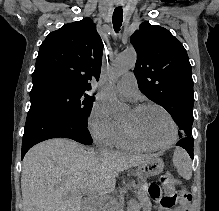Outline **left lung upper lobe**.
I'll return each mask as SVG.
<instances>
[{
  "instance_id": "left-lung-upper-lobe-1",
  "label": "left lung upper lobe",
  "mask_w": 219,
  "mask_h": 211,
  "mask_svg": "<svg viewBox=\"0 0 219 211\" xmlns=\"http://www.w3.org/2000/svg\"><path fill=\"white\" fill-rule=\"evenodd\" d=\"M137 52L134 69L140 91L172 116L181 132L191 137L193 79L185 48L167 29L143 22L130 38Z\"/></svg>"
}]
</instances>
